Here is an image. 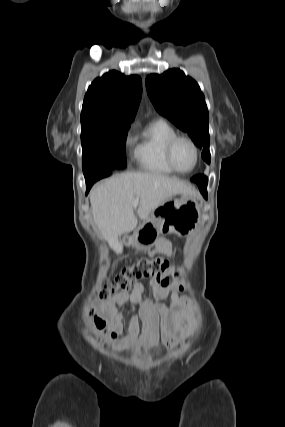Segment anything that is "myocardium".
<instances>
[{
  "instance_id": "f54148a6",
  "label": "myocardium",
  "mask_w": 285,
  "mask_h": 427,
  "mask_svg": "<svg viewBox=\"0 0 285 427\" xmlns=\"http://www.w3.org/2000/svg\"><path fill=\"white\" fill-rule=\"evenodd\" d=\"M182 140L187 141L193 147V150L195 153L194 165L190 170H187V171L180 170L176 166V164L174 162V158H173L174 148H175L176 144ZM165 157H166V161H167L168 165L171 167V169L173 171H175L176 173L185 175V174L192 173L197 168L198 163H199V159H200V151H199L198 145L196 144V142L191 137L186 136V135H178L177 134L176 136H174L173 138H171L168 141V143L166 145V149H165Z\"/></svg>"
}]
</instances>
